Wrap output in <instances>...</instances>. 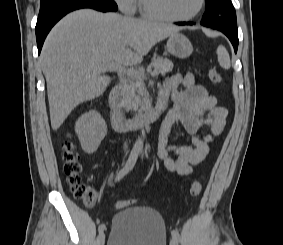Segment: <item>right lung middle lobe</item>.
I'll return each mask as SVG.
<instances>
[{"label":"right lung middle lobe","instance_id":"obj_1","mask_svg":"<svg viewBox=\"0 0 283 245\" xmlns=\"http://www.w3.org/2000/svg\"><path fill=\"white\" fill-rule=\"evenodd\" d=\"M63 1H67V0H41L40 9Z\"/></svg>","mask_w":283,"mask_h":245}]
</instances>
